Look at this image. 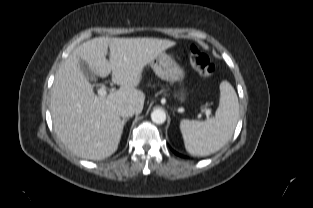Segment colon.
Wrapping results in <instances>:
<instances>
[{
    "instance_id": "1",
    "label": "colon",
    "mask_w": 313,
    "mask_h": 208,
    "mask_svg": "<svg viewBox=\"0 0 313 208\" xmlns=\"http://www.w3.org/2000/svg\"><path fill=\"white\" fill-rule=\"evenodd\" d=\"M186 57L190 61L193 68L202 76L210 77L215 72V65L209 58L200 51L196 45H191L187 48Z\"/></svg>"
}]
</instances>
